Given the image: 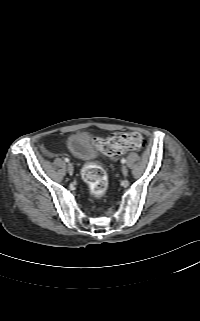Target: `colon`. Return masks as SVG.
Returning a JSON list of instances; mask_svg holds the SVG:
<instances>
[{"label": "colon", "instance_id": "1", "mask_svg": "<svg viewBox=\"0 0 200 321\" xmlns=\"http://www.w3.org/2000/svg\"><path fill=\"white\" fill-rule=\"evenodd\" d=\"M97 144L105 155L117 157L128 151L142 149L144 139L137 132L115 133L107 138H98ZM82 177L94 197L102 198L105 195L108 179L102 167L94 163L86 164L82 169Z\"/></svg>", "mask_w": 200, "mask_h": 321}]
</instances>
